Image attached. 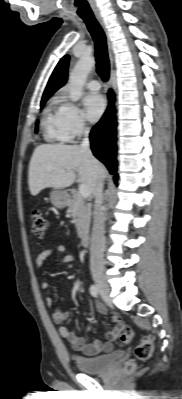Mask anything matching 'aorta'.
<instances>
[{"label":"aorta","mask_w":182,"mask_h":399,"mask_svg":"<svg viewBox=\"0 0 182 399\" xmlns=\"http://www.w3.org/2000/svg\"><path fill=\"white\" fill-rule=\"evenodd\" d=\"M95 65V59L91 56H82L74 66L69 78V97L77 102L83 95V87L87 76Z\"/></svg>","instance_id":"1"}]
</instances>
